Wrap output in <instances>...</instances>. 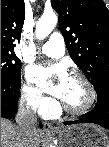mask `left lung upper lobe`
<instances>
[{"mask_svg": "<svg viewBox=\"0 0 109 147\" xmlns=\"http://www.w3.org/2000/svg\"><path fill=\"white\" fill-rule=\"evenodd\" d=\"M67 50L96 89L109 81V10L102 0H52Z\"/></svg>", "mask_w": 109, "mask_h": 147, "instance_id": "left-lung-upper-lobe-1", "label": "left lung upper lobe"}]
</instances>
